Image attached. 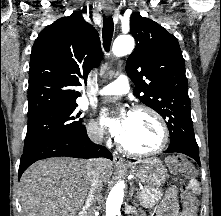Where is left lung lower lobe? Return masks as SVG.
Listing matches in <instances>:
<instances>
[{"instance_id":"left-lung-lower-lobe-1","label":"left lung lower lobe","mask_w":221,"mask_h":216,"mask_svg":"<svg viewBox=\"0 0 221 216\" xmlns=\"http://www.w3.org/2000/svg\"><path fill=\"white\" fill-rule=\"evenodd\" d=\"M173 152L183 153L185 155H188L191 158H193L199 165H201L199 158V150H194L184 146H177V147H168V149L165 151V153H173Z\"/></svg>"}]
</instances>
